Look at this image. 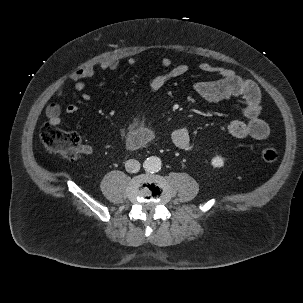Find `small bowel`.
Wrapping results in <instances>:
<instances>
[{
  "instance_id": "1",
  "label": "small bowel",
  "mask_w": 303,
  "mask_h": 303,
  "mask_svg": "<svg viewBox=\"0 0 303 303\" xmlns=\"http://www.w3.org/2000/svg\"><path fill=\"white\" fill-rule=\"evenodd\" d=\"M130 66L135 65L136 60L133 57L127 59ZM161 65L164 72L155 76L149 84L150 94L159 92L169 81L179 78L189 72L187 64L174 65L171 58L163 57ZM120 66L119 59L105 60L100 64L102 70H116ZM200 70L208 73H218L219 79L212 81H200L193 85V90L200 98L209 102H218L224 99L239 97L243 100V120L235 119L230 121L225 130L234 138L251 137L257 140L267 138L270 133L269 125L264 121L261 115V94L258 86L250 79L237 75L233 70L215 66L208 62L200 64ZM95 68L92 65L80 68L74 71L69 83H63L57 89V96H63L71 84L75 91L81 93V98L84 101H90L91 95L84 92L86 84L85 80L93 77ZM65 112L73 114L79 111V107L74 103H69L65 106ZM62 106L59 103L53 102L46 108V117L48 122L53 125L61 123ZM135 131L146 132L153 135L151 129L143 126L133 128ZM172 142L176 147L182 150H192L193 141L192 134L187 128L175 129L171 134ZM84 153H89L90 148L83 146Z\"/></svg>"
}]
</instances>
